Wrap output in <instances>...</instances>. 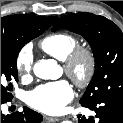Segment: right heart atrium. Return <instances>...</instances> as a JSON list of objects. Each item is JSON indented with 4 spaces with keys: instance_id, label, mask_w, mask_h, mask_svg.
Here are the masks:
<instances>
[{
    "instance_id": "d8ad5b80",
    "label": "right heart atrium",
    "mask_w": 123,
    "mask_h": 123,
    "mask_svg": "<svg viewBox=\"0 0 123 123\" xmlns=\"http://www.w3.org/2000/svg\"><path fill=\"white\" fill-rule=\"evenodd\" d=\"M33 67V54L32 51L24 47L22 48L15 59V68L18 75L22 79H27L30 77Z\"/></svg>"
}]
</instances>
